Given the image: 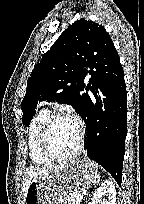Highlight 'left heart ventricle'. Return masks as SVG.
Masks as SVG:
<instances>
[{"label": "left heart ventricle", "instance_id": "1", "mask_svg": "<svg viewBox=\"0 0 144 204\" xmlns=\"http://www.w3.org/2000/svg\"><path fill=\"white\" fill-rule=\"evenodd\" d=\"M79 128L71 118L58 119L51 130L50 144L54 152L59 155L72 153L78 143Z\"/></svg>", "mask_w": 144, "mask_h": 204}]
</instances>
